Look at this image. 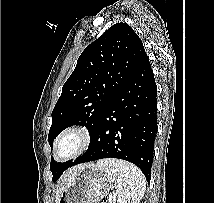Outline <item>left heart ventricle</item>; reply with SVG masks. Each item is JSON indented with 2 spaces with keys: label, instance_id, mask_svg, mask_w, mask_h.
Returning <instances> with one entry per match:
<instances>
[{
  "label": "left heart ventricle",
  "instance_id": "b2bd125f",
  "mask_svg": "<svg viewBox=\"0 0 214 203\" xmlns=\"http://www.w3.org/2000/svg\"><path fill=\"white\" fill-rule=\"evenodd\" d=\"M77 147V140L75 138L67 139L59 150V157L65 158L75 151Z\"/></svg>",
  "mask_w": 214,
  "mask_h": 203
}]
</instances>
